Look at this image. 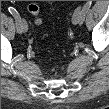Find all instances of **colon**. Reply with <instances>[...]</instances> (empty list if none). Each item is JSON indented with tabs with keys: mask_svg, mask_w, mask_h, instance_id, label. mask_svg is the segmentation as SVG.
Returning <instances> with one entry per match:
<instances>
[{
	"mask_svg": "<svg viewBox=\"0 0 109 109\" xmlns=\"http://www.w3.org/2000/svg\"><path fill=\"white\" fill-rule=\"evenodd\" d=\"M28 9L29 12L34 16L36 24H40L42 22L40 17V8L35 4H31Z\"/></svg>",
	"mask_w": 109,
	"mask_h": 109,
	"instance_id": "5ec220e1",
	"label": "colon"
}]
</instances>
